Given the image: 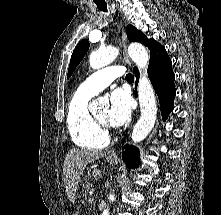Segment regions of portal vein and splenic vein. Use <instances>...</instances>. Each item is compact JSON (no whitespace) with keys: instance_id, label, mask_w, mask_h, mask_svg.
Here are the masks:
<instances>
[{"instance_id":"1","label":"portal vein and splenic vein","mask_w":221,"mask_h":215,"mask_svg":"<svg viewBox=\"0 0 221 215\" xmlns=\"http://www.w3.org/2000/svg\"><path fill=\"white\" fill-rule=\"evenodd\" d=\"M90 194H92V193H90ZM93 200V197L91 196L90 198H89V201L91 202Z\"/></svg>"}]
</instances>
